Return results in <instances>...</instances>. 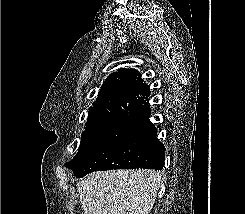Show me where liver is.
Instances as JSON below:
<instances>
[{
	"instance_id": "liver-1",
	"label": "liver",
	"mask_w": 245,
	"mask_h": 214,
	"mask_svg": "<svg viewBox=\"0 0 245 214\" xmlns=\"http://www.w3.org/2000/svg\"><path fill=\"white\" fill-rule=\"evenodd\" d=\"M163 183L154 170L92 173L77 183L84 214H149Z\"/></svg>"
}]
</instances>
